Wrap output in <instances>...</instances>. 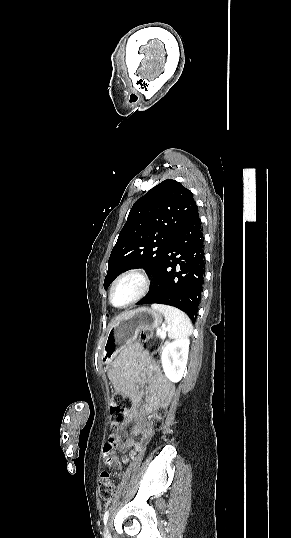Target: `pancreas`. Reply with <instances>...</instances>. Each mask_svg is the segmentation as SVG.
Instances as JSON below:
<instances>
[{
  "label": "pancreas",
  "mask_w": 291,
  "mask_h": 538,
  "mask_svg": "<svg viewBox=\"0 0 291 538\" xmlns=\"http://www.w3.org/2000/svg\"><path fill=\"white\" fill-rule=\"evenodd\" d=\"M165 337H162V340L164 341Z\"/></svg>",
  "instance_id": "pancreas-1"
}]
</instances>
